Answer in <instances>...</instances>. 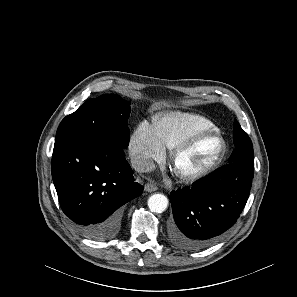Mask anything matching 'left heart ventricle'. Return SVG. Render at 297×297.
I'll list each match as a JSON object with an SVG mask.
<instances>
[{
	"instance_id": "1",
	"label": "left heart ventricle",
	"mask_w": 297,
	"mask_h": 297,
	"mask_svg": "<svg viewBox=\"0 0 297 297\" xmlns=\"http://www.w3.org/2000/svg\"><path fill=\"white\" fill-rule=\"evenodd\" d=\"M220 142L215 136H208L196 142L176 161V170L191 174L206 167L218 154Z\"/></svg>"
}]
</instances>
